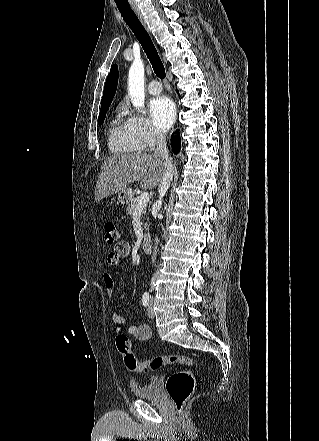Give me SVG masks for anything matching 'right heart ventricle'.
Masks as SVG:
<instances>
[{
	"label": "right heart ventricle",
	"instance_id": "e07e8e85",
	"mask_svg": "<svg viewBox=\"0 0 319 441\" xmlns=\"http://www.w3.org/2000/svg\"><path fill=\"white\" fill-rule=\"evenodd\" d=\"M108 145L113 153L130 154L137 151L129 136L127 120L119 115L114 116L110 122Z\"/></svg>",
	"mask_w": 319,
	"mask_h": 441
}]
</instances>
